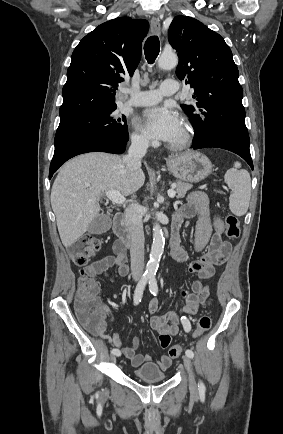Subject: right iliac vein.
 I'll return each instance as SVG.
<instances>
[{
  "label": "right iliac vein",
  "instance_id": "1",
  "mask_svg": "<svg viewBox=\"0 0 283 434\" xmlns=\"http://www.w3.org/2000/svg\"><path fill=\"white\" fill-rule=\"evenodd\" d=\"M110 361L113 362V363L116 362V356L114 354H112L110 356Z\"/></svg>",
  "mask_w": 283,
  "mask_h": 434
}]
</instances>
